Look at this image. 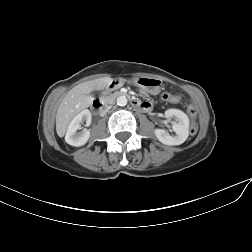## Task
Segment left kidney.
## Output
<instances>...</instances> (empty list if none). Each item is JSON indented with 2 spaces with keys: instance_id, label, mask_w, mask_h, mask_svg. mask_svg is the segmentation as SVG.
Segmentation results:
<instances>
[{
  "instance_id": "5707ae66",
  "label": "left kidney",
  "mask_w": 252,
  "mask_h": 252,
  "mask_svg": "<svg viewBox=\"0 0 252 252\" xmlns=\"http://www.w3.org/2000/svg\"><path fill=\"white\" fill-rule=\"evenodd\" d=\"M165 117L167 119L174 118L172 123V129L176 135H170L164 129H155V135L157 139L165 145H180L186 141L189 135V118L181 110L168 109L165 111Z\"/></svg>"
}]
</instances>
